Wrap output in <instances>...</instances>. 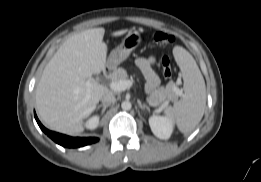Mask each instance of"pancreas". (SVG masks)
<instances>
[{
    "label": "pancreas",
    "instance_id": "obj_1",
    "mask_svg": "<svg viewBox=\"0 0 261 182\" xmlns=\"http://www.w3.org/2000/svg\"><path fill=\"white\" fill-rule=\"evenodd\" d=\"M128 74L125 69L117 68L111 74L112 81L127 80ZM176 99V93L172 87H161L154 94L147 97V101L154 106L166 105L169 101Z\"/></svg>",
    "mask_w": 261,
    "mask_h": 182
}]
</instances>
